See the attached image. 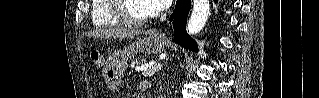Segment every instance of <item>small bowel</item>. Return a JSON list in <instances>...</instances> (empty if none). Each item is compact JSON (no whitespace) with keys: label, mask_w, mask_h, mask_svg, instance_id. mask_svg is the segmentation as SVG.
<instances>
[{"label":"small bowel","mask_w":319,"mask_h":98,"mask_svg":"<svg viewBox=\"0 0 319 98\" xmlns=\"http://www.w3.org/2000/svg\"><path fill=\"white\" fill-rule=\"evenodd\" d=\"M142 86H143V87H146V84H143Z\"/></svg>","instance_id":"small-bowel-1"}]
</instances>
